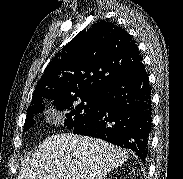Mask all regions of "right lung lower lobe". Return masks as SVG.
<instances>
[{
    "label": "right lung lower lobe",
    "mask_w": 183,
    "mask_h": 179,
    "mask_svg": "<svg viewBox=\"0 0 183 179\" xmlns=\"http://www.w3.org/2000/svg\"><path fill=\"white\" fill-rule=\"evenodd\" d=\"M97 113L74 134L96 137L135 152L146 161L152 126L151 87L143 64L99 94Z\"/></svg>",
    "instance_id": "98d812e1"
}]
</instances>
